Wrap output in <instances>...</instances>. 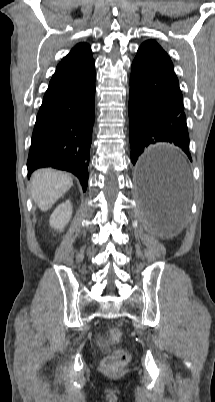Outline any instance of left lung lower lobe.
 <instances>
[{"label": "left lung lower lobe", "instance_id": "1", "mask_svg": "<svg viewBox=\"0 0 215 402\" xmlns=\"http://www.w3.org/2000/svg\"><path fill=\"white\" fill-rule=\"evenodd\" d=\"M129 137L133 165L154 144L178 146L192 160L183 97L175 73L139 58L134 59L130 76ZM138 173L160 194L164 207L173 210L180 194L142 165Z\"/></svg>", "mask_w": 215, "mask_h": 402}]
</instances>
